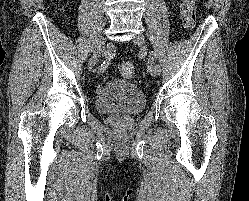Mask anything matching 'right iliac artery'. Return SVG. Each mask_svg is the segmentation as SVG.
Wrapping results in <instances>:
<instances>
[{"mask_svg":"<svg viewBox=\"0 0 249 201\" xmlns=\"http://www.w3.org/2000/svg\"><path fill=\"white\" fill-rule=\"evenodd\" d=\"M108 58V57H107ZM109 65V62H108V59H106V61H104L101 66L99 67V71L100 72H104V70H106V68L108 67Z\"/></svg>","mask_w":249,"mask_h":201,"instance_id":"1","label":"right iliac artery"}]
</instances>
